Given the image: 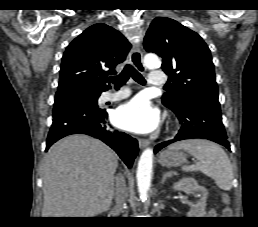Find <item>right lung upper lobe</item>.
Wrapping results in <instances>:
<instances>
[{"mask_svg":"<svg viewBox=\"0 0 258 227\" xmlns=\"http://www.w3.org/2000/svg\"><path fill=\"white\" fill-rule=\"evenodd\" d=\"M131 48L127 39L106 24L83 31L67 47L60 68L58 91L83 88L103 92L110 88L106 77L126 59Z\"/></svg>","mask_w":258,"mask_h":227,"instance_id":"right-lung-upper-lobe-1","label":"right lung upper lobe"}]
</instances>
